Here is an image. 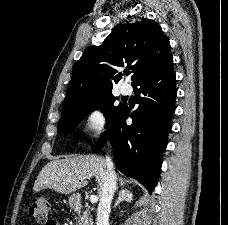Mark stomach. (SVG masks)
<instances>
[{"label":"stomach","instance_id":"1","mask_svg":"<svg viewBox=\"0 0 228 225\" xmlns=\"http://www.w3.org/2000/svg\"><path fill=\"white\" fill-rule=\"evenodd\" d=\"M68 201H69V205H70L71 209H75L77 203H79V197H78L77 193H75V195H71V197H69Z\"/></svg>","mask_w":228,"mask_h":225}]
</instances>
